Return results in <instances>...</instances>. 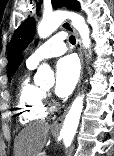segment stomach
I'll return each instance as SVG.
<instances>
[{
    "instance_id": "0dacf381",
    "label": "stomach",
    "mask_w": 114,
    "mask_h": 156,
    "mask_svg": "<svg viewBox=\"0 0 114 156\" xmlns=\"http://www.w3.org/2000/svg\"><path fill=\"white\" fill-rule=\"evenodd\" d=\"M51 132L55 134L57 132V129H55L54 127H51ZM39 156H45V155H42L41 153Z\"/></svg>"
}]
</instances>
